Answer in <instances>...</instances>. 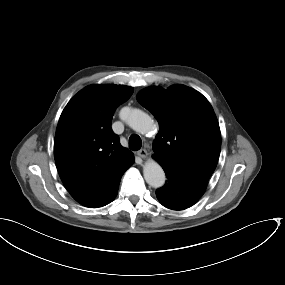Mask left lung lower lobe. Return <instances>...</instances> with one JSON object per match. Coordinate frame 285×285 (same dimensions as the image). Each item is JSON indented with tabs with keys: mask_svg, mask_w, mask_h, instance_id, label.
I'll return each instance as SVG.
<instances>
[{
	"mask_svg": "<svg viewBox=\"0 0 285 285\" xmlns=\"http://www.w3.org/2000/svg\"><path fill=\"white\" fill-rule=\"evenodd\" d=\"M160 164L168 180L156 190L159 202L172 210H184L194 205L204 194L208 179L169 163Z\"/></svg>",
	"mask_w": 285,
	"mask_h": 285,
	"instance_id": "0a47b994",
	"label": "left lung lower lobe"
}]
</instances>
